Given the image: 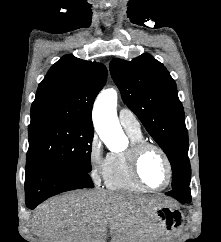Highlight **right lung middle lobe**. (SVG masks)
Returning <instances> with one entry per match:
<instances>
[{"instance_id": "dd1d6c3e", "label": "right lung middle lobe", "mask_w": 221, "mask_h": 242, "mask_svg": "<svg viewBox=\"0 0 221 242\" xmlns=\"http://www.w3.org/2000/svg\"><path fill=\"white\" fill-rule=\"evenodd\" d=\"M93 127L79 123H46L29 126L26 167L48 163L91 171Z\"/></svg>"}]
</instances>
